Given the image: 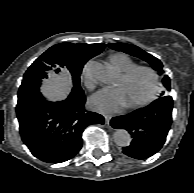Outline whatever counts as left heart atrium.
Returning a JSON list of instances; mask_svg holds the SVG:
<instances>
[{"label": "left heart atrium", "mask_w": 194, "mask_h": 193, "mask_svg": "<svg viewBox=\"0 0 194 193\" xmlns=\"http://www.w3.org/2000/svg\"><path fill=\"white\" fill-rule=\"evenodd\" d=\"M91 107L102 113H114L126 106L123 91L120 88L102 89L90 100Z\"/></svg>", "instance_id": "obj_1"}]
</instances>
